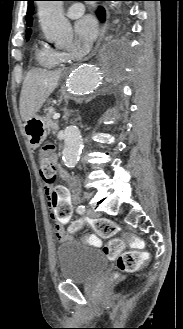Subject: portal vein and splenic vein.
I'll use <instances>...</instances> for the list:
<instances>
[{
	"instance_id": "18ae733b",
	"label": "portal vein and splenic vein",
	"mask_w": 183,
	"mask_h": 329,
	"mask_svg": "<svg viewBox=\"0 0 183 329\" xmlns=\"http://www.w3.org/2000/svg\"><path fill=\"white\" fill-rule=\"evenodd\" d=\"M60 118V114L59 113H55L54 115H53V119L54 120H57V119H59Z\"/></svg>"
}]
</instances>
